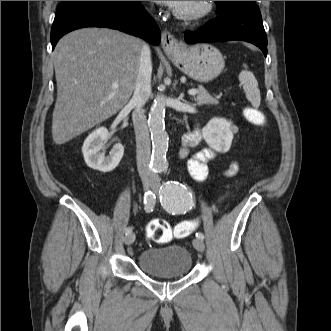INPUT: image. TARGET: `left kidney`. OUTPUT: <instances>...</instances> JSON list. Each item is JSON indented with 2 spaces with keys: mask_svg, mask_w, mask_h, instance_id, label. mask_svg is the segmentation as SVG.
Returning a JSON list of instances; mask_svg holds the SVG:
<instances>
[{
  "mask_svg": "<svg viewBox=\"0 0 331 331\" xmlns=\"http://www.w3.org/2000/svg\"><path fill=\"white\" fill-rule=\"evenodd\" d=\"M235 127L223 118H213L202 129L206 143L220 153H226L232 144Z\"/></svg>",
  "mask_w": 331,
  "mask_h": 331,
  "instance_id": "1",
  "label": "left kidney"
}]
</instances>
